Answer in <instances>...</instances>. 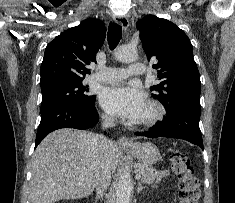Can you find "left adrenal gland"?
<instances>
[{"label":"left adrenal gland","instance_id":"obj_1","mask_svg":"<svg viewBox=\"0 0 235 203\" xmlns=\"http://www.w3.org/2000/svg\"><path fill=\"white\" fill-rule=\"evenodd\" d=\"M143 189H145V187L142 186L141 182H138L137 193H140Z\"/></svg>","mask_w":235,"mask_h":203}]
</instances>
